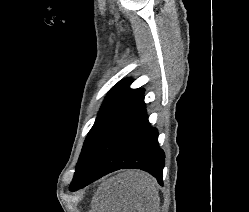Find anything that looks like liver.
Returning <instances> with one entry per match:
<instances>
[{
	"mask_svg": "<svg viewBox=\"0 0 249 212\" xmlns=\"http://www.w3.org/2000/svg\"><path fill=\"white\" fill-rule=\"evenodd\" d=\"M159 204L154 178L141 170H124L99 186L92 212H158Z\"/></svg>",
	"mask_w": 249,
	"mask_h": 212,
	"instance_id": "liver-1",
	"label": "liver"
}]
</instances>
